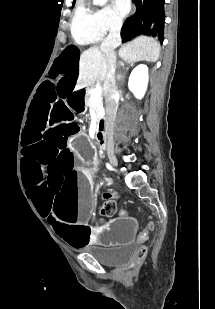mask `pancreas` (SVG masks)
<instances>
[{"label":"pancreas","instance_id":"obj_1","mask_svg":"<svg viewBox=\"0 0 215 309\" xmlns=\"http://www.w3.org/2000/svg\"><path fill=\"white\" fill-rule=\"evenodd\" d=\"M94 88H95V84H92V86H88V88H86L85 104L86 106H90V108L94 110L97 118H102L104 114L102 100H100V98H95L94 102H91L90 100Z\"/></svg>","mask_w":215,"mask_h":309}]
</instances>
